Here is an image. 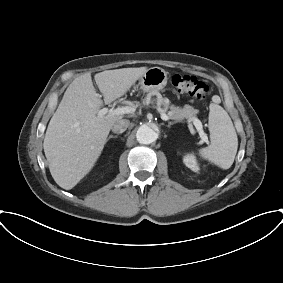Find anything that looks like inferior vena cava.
Returning <instances> with one entry per match:
<instances>
[{
	"instance_id": "1",
	"label": "inferior vena cava",
	"mask_w": 283,
	"mask_h": 283,
	"mask_svg": "<svg viewBox=\"0 0 283 283\" xmlns=\"http://www.w3.org/2000/svg\"><path fill=\"white\" fill-rule=\"evenodd\" d=\"M130 125V121L127 119H120L112 126V132L120 134L123 133L128 126Z\"/></svg>"
}]
</instances>
